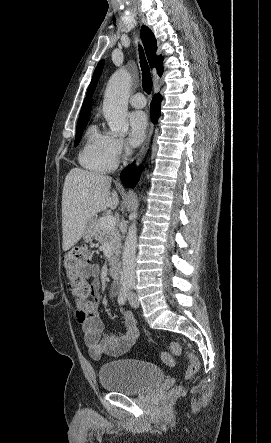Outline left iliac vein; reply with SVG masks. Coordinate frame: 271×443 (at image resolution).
<instances>
[{
    "instance_id": "obj_1",
    "label": "left iliac vein",
    "mask_w": 271,
    "mask_h": 443,
    "mask_svg": "<svg viewBox=\"0 0 271 443\" xmlns=\"http://www.w3.org/2000/svg\"><path fill=\"white\" fill-rule=\"evenodd\" d=\"M128 300H129V304H130L132 307H134V308H138V307H139L140 303H139L138 298H137V295H136L135 293H131V294L129 295Z\"/></svg>"
}]
</instances>
